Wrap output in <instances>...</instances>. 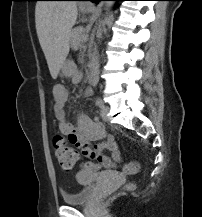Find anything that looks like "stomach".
Wrapping results in <instances>:
<instances>
[{"mask_svg": "<svg viewBox=\"0 0 202 217\" xmlns=\"http://www.w3.org/2000/svg\"><path fill=\"white\" fill-rule=\"evenodd\" d=\"M76 72V65L72 61H65L62 65L59 75L60 77H71Z\"/></svg>", "mask_w": 202, "mask_h": 217, "instance_id": "obj_1", "label": "stomach"}]
</instances>
